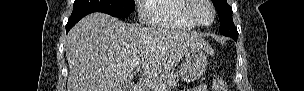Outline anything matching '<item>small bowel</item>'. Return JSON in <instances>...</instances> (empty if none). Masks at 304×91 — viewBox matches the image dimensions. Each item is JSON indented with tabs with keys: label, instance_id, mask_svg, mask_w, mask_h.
I'll list each match as a JSON object with an SVG mask.
<instances>
[{
	"label": "small bowel",
	"instance_id": "obj_1",
	"mask_svg": "<svg viewBox=\"0 0 304 91\" xmlns=\"http://www.w3.org/2000/svg\"><path fill=\"white\" fill-rule=\"evenodd\" d=\"M206 87L204 85L197 86L192 89V91H206Z\"/></svg>",
	"mask_w": 304,
	"mask_h": 91
}]
</instances>
